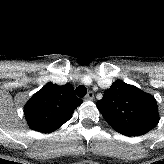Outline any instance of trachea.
I'll use <instances>...</instances> for the list:
<instances>
[{"instance_id":"1","label":"trachea","mask_w":164,"mask_h":164,"mask_svg":"<svg viewBox=\"0 0 164 164\" xmlns=\"http://www.w3.org/2000/svg\"><path fill=\"white\" fill-rule=\"evenodd\" d=\"M86 93L87 89L84 86L80 85L76 88V94L78 97L83 98L86 95Z\"/></svg>"}]
</instances>
